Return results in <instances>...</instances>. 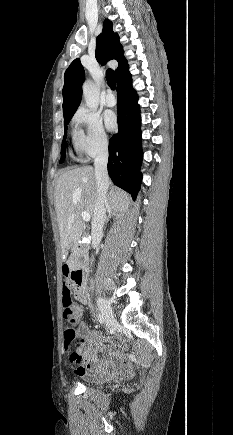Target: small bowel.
Instances as JSON below:
<instances>
[{
    "instance_id": "small-bowel-1",
    "label": "small bowel",
    "mask_w": 233,
    "mask_h": 435,
    "mask_svg": "<svg viewBox=\"0 0 233 435\" xmlns=\"http://www.w3.org/2000/svg\"><path fill=\"white\" fill-rule=\"evenodd\" d=\"M62 293L70 297V284L63 283ZM79 314L82 312L81 307H77ZM79 331L83 336L92 339L91 343L82 342L79 345V352L82 359L86 361L85 365L77 368V372L89 380H105L107 375L114 374L118 368L123 372L125 377L133 374L134 367L130 363L120 361V354L117 348L113 346H104L98 342V333L92 331L86 323H80ZM103 353V358H99L97 352Z\"/></svg>"
}]
</instances>
